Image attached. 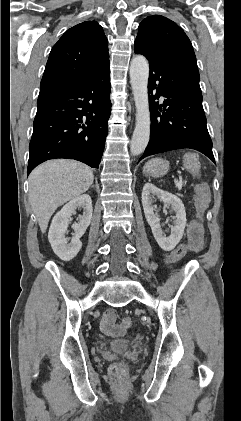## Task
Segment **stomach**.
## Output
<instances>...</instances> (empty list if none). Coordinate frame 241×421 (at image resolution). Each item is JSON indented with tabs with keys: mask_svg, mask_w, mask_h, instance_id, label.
Listing matches in <instances>:
<instances>
[{
	"mask_svg": "<svg viewBox=\"0 0 241 421\" xmlns=\"http://www.w3.org/2000/svg\"><path fill=\"white\" fill-rule=\"evenodd\" d=\"M169 170V162L160 158L149 160L144 168L143 173L146 176L161 177L167 174Z\"/></svg>",
	"mask_w": 241,
	"mask_h": 421,
	"instance_id": "stomach-1",
	"label": "stomach"
}]
</instances>
